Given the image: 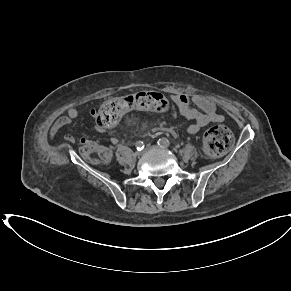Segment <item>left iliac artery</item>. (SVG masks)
Here are the masks:
<instances>
[{
  "instance_id": "1",
  "label": "left iliac artery",
  "mask_w": 291,
  "mask_h": 291,
  "mask_svg": "<svg viewBox=\"0 0 291 291\" xmlns=\"http://www.w3.org/2000/svg\"><path fill=\"white\" fill-rule=\"evenodd\" d=\"M157 144L160 146V147H168V146H170V141L168 140V139H166V138H162V139H159L158 141H157Z\"/></svg>"
}]
</instances>
